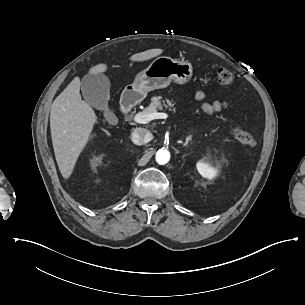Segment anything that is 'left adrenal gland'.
<instances>
[{"label": "left adrenal gland", "mask_w": 305, "mask_h": 305, "mask_svg": "<svg viewBox=\"0 0 305 305\" xmlns=\"http://www.w3.org/2000/svg\"><path fill=\"white\" fill-rule=\"evenodd\" d=\"M191 139H192V136H191V135L188 136V137L186 138L185 143H184L183 145L186 146V145L188 144V141H190Z\"/></svg>", "instance_id": "1"}]
</instances>
